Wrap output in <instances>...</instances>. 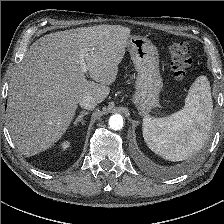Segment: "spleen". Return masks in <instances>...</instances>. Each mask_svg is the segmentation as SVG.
I'll return each mask as SVG.
<instances>
[{
	"mask_svg": "<svg viewBox=\"0 0 224 224\" xmlns=\"http://www.w3.org/2000/svg\"><path fill=\"white\" fill-rule=\"evenodd\" d=\"M212 110L210 84L202 75L191 85L180 111L163 118L144 117V140L154 153L166 160H185L206 142Z\"/></svg>",
	"mask_w": 224,
	"mask_h": 224,
	"instance_id": "obj_1",
	"label": "spleen"
}]
</instances>
